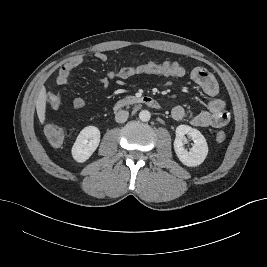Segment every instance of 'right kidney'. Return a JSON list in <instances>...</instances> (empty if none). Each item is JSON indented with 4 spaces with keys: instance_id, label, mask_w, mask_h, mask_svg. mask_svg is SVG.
Returning a JSON list of instances; mask_svg holds the SVG:
<instances>
[{
    "instance_id": "1",
    "label": "right kidney",
    "mask_w": 267,
    "mask_h": 267,
    "mask_svg": "<svg viewBox=\"0 0 267 267\" xmlns=\"http://www.w3.org/2000/svg\"><path fill=\"white\" fill-rule=\"evenodd\" d=\"M100 143V131L95 126H87L81 130L72 147L73 159L83 163L90 158Z\"/></svg>"
}]
</instances>
